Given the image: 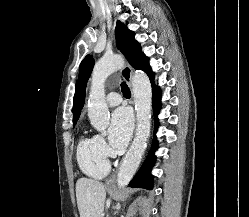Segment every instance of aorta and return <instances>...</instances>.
I'll list each match as a JSON object with an SVG mask.
<instances>
[{"label":"aorta","instance_id":"762f6f07","mask_svg":"<svg viewBox=\"0 0 249 217\" xmlns=\"http://www.w3.org/2000/svg\"><path fill=\"white\" fill-rule=\"evenodd\" d=\"M123 66V59L114 55L99 60L93 69L88 100V115L92 126L104 132L109 124V111L105 101L104 84L109 75ZM133 97L137 116L136 136L122 160L117 185L127 186L135 174L147 146L151 127L152 87L148 76L136 72L132 78Z\"/></svg>","mask_w":249,"mask_h":217}]
</instances>
